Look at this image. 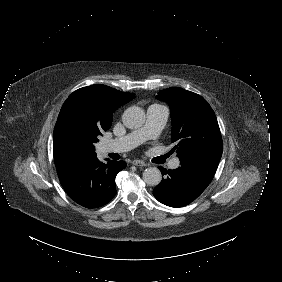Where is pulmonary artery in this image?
Wrapping results in <instances>:
<instances>
[{
  "mask_svg": "<svg viewBox=\"0 0 282 282\" xmlns=\"http://www.w3.org/2000/svg\"><path fill=\"white\" fill-rule=\"evenodd\" d=\"M169 117V109L164 105L153 104L148 107L145 123L126 134L105 143L107 152H125L138 146L147 139L155 138L164 128ZM179 160L171 163V168H177Z\"/></svg>",
  "mask_w": 282,
  "mask_h": 282,
  "instance_id": "pulmonary-artery-1",
  "label": "pulmonary artery"
}]
</instances>
